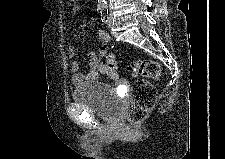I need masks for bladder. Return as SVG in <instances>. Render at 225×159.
Segmentation results:
<instances>
[{"mask_svg":"<svg viewBox=\"0 0 225 159\" xmlns=\"http://www.w3.org/2000/svg\"><path fill=\"white\" fill-rule=\"evenodd\" d=\"M76 104L88 108L100 118L115 120L121 113V100L115 91L99 81L76 87L72 93Z\"/></svg>","mask_w":225,"mask_h":159,"instance_id":"31cf9c89","label":"bladder"}]
</instances>
